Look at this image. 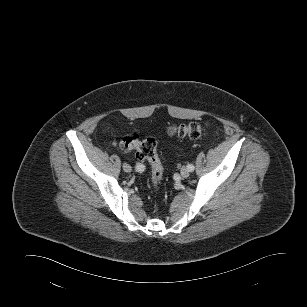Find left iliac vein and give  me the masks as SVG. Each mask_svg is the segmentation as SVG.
Segmentation results:
<instances>
[{"label": "left iliac vein", "instance_id": "obj_1", "mask_svg": "<svg viewBox=\"0 0 307 307\" xmlns=\"http://www.w3.org/2000/svg\"><path fill=\"white\" fill-rule=\"evenodd\" d=\"M180 174L183 178H187L190 174V171L187 167L183 166L180 170Z\"/></svg>", "mask_w": 307, "mask_h": 307}]
</instances>
